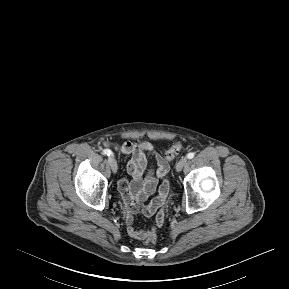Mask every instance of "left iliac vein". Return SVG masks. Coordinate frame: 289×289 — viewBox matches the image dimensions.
<instances>
[{"instance_id": "obj_1", "label": "left iliac vein", "mask_w": 289, "mask_h": 289, "mask_svg": "<svg viewBox=\"0 0 289 289\" xmlns=\"http://www.w3.org/2000/svg\"><path fill=\"white\" fill-rule=\"evenodd\" d=\"M187 163V158L186 157H182L176 164V171L180 172L183 167L185 166V164Z\"/></svg>"}]
</instances>
